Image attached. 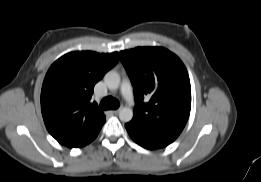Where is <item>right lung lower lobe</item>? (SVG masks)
<instances>
[{"label":"right lung lower lobe","mask_w":261,"mask_h":182,"mask_svg":"<svg viewBox=\"0 0 261 182\" xmlns=\"http://www.w3.org/2000/svg\"><path fill=\"white\" fill-rule=\"evenodd\" d=\"M99 133V132H98ZM98 133L96 134V136L98 135ZM96 136L93 138V140L96 138Z\"/></svg>","instance_id":"obj_1"}]
</instances>
